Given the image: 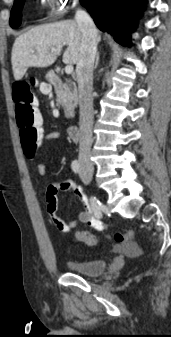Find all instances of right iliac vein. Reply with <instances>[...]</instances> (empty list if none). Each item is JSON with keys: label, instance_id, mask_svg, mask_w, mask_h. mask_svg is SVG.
<instances>
[{"label": "right iliac vein", "instance_id": "63e3f726", "mask_svg": "<svg viewBox=\"0 0 171 337\" xmlns=\"http://www.w3.org/2000/svg\"><path fill=\"white\" fill-rule=\"evenodd\" d=\"M85 172L91 176L93 174V169L91 167H85Z\"/></svg>", "mask_w": 171, "mask_h": 337}]
</instances>
